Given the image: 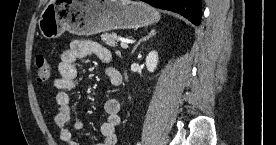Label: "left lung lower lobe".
<instances>
[{"mask_svg":"<svg viewBox=\"0 0 276 145\" xmlns=\"http://www.w3.org/2000/svg\"><path fill=\"white\" fill-rule=\"evenodd\" d=\"M155 7L179 13L199 25L201 20V0H142Z\"/></svg>","mask_w":276,"mask_h":145,"instance_id":"0a47b994","label":"left lung lower lobe"}]
</instances>
